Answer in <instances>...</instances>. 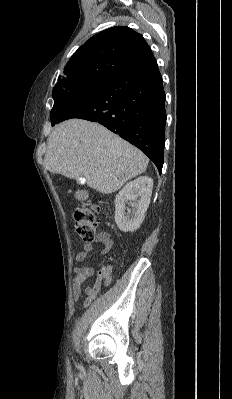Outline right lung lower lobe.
<instances>
[{
  "label": "right lung lower lobe",
  "instance_id": "98d812e1",
  "mask_svg": "<svg viewBox=\"0 0 232 399\" xmlns=\"http://www.w3.org/2000/svg\"><path fill=\"white\" fill-rule=\"evenodd\" d=\"M71 118L104 125L142 150L161 173L166 124L165 93L153 55L110 76L105 84L85 98L68 103L55 124Z\"/></svg>",
  "mask_w": 232,
  "mask_h": 399
}]
</instances>
